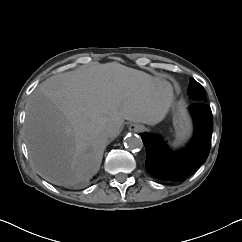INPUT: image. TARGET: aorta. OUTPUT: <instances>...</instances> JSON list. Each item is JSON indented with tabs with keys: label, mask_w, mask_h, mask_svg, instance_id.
<instances>
[{
	"label": "aorta",
	"mask_w": 242,
	"mask_h": 242,
	"mask_svg": "<svg viewBox=\"0 0 242 242\" xmlns=\"http://www.w3.org/2000/svg\"><path fill=\"white\" fill-rule=\"evenodd\" d=\"M125 145L129 149L135 150L142 148L143 142L138 135L128 134L125 138Z\"/></svg>",
	"instance_id": "762f6f07"
}]
</instances>
